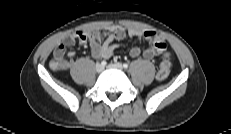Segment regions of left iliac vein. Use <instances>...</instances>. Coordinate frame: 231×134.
Here are the masks:
<instances>
[{"label":"left iliac vein","instance_id":"left-iliac-vein-1","mask_svg":"<svg viewBox=\"0 0 231 134\" xmlns=\"http://www.w3.org/2000/svg\"><path fill=\"white\" fill-rule=\"evenodd\" d=\"M107 67L110 68V69H118V70H122L123 69V66H122L121 63L109 64Z\"/></svg>","mask_w":231,"mask_h":134}]
</instances>
